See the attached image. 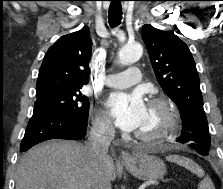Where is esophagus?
I'll return each mask as SVG.
<instances>
[{
  "instance_id": "esophagus-1",
  "label": "esophagus",
  "mask_w": 223,
  "mask_h": 189,
  "mask_svg": "<svg viewBox=\"0 0 223 189\" xmlns=\"http://www.w3.org/2000/svg\"><path fill=\"white\" fill-rule=\"evenodd\" d=\"M120 159L122 162L127 163L131 160V155L126 151H122L120 153Z\"/></svg>"
}]
</instances>
